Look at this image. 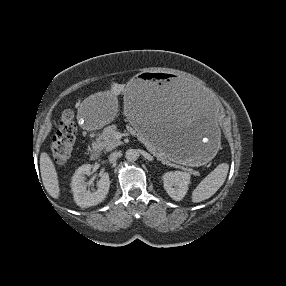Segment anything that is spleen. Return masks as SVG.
<instances>
[{"mask_svg":"<svg viewBox=\"0 0 286 286\" xmlns=\"http://www.w3.org/2000/svg\"><path fill=\"white\" fill-rule=\"evenodd\" d=\"M229 170L227 163L219 164L193 190L192 202L198 203L213 196L226 180Z\"/></svg>","mask_w":286,"mask_h":286,"instance_id":"obj_1","label":"spleen"}]
</instances>
